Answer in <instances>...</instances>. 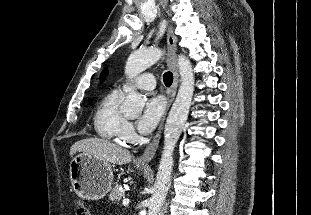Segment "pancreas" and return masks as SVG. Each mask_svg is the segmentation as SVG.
Segmentation results:
<instances>
[{
    "mask_svg": "<svg viewBox=\"0 0 311 215\" xmlns=\"http://www.w3.org/2000/svg\"><path fill=\"white\" fill-rule=\"evenodd\" d=\"M125 195V191L124 190H121V186L120 185H117L113 188V190L110 192L109 194V199L114 202V203H117L120 201V199L122 197H124Z\"/></svg>",
    "mask_w": 311,
    "mask_h": 215,
    "instance_id": "pancreas-1",
    "label": "pancreas"
}]
</instances>
